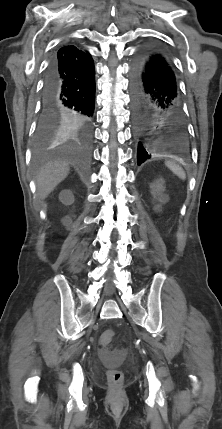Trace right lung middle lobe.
Segmentation results:
<instances>
[{"instance_id":"obj_1","label":"right lung middle lobe","mask_w":222,"mask_h":429,"mask_svg":"<svg viewBox=\"0 0 222 429\" xmlns=\"http://www.w3.org/2000/svg\"><path fill=\"white\" fill-rule=\"evenodd\" d=\"M55 130L56 129L38 127L36 133V147L42 148L50 141L58 137V134L55 132Z\"/></svg>"}]
</instances>
